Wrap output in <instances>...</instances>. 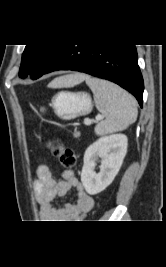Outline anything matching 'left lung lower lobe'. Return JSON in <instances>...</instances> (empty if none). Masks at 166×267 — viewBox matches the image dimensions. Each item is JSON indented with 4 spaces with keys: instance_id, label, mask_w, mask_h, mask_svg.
Segmentation results:
<instances>
[{
    "instance_id": "left-lung-lower-lobe-1",
    "label": "left lung lower lobe",
    "mask_w": 166,
    "mask_h": 267,
    "mask_svg": "<svg viewBox=\"0 0 166 267\" xmlns=\"http://www.w3.org/2000/svg\"><path fill=\"white\" fill-rule=\"evenodd\" d=\"M58 70L84 72L112 81L134 95L142 107L144 83L135 45H63L42 75Z\"/></svg>"
}]
</instances>
